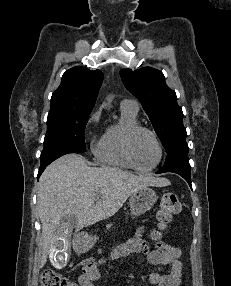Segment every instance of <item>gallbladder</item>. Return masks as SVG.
I'll use <instances>...</instances> for the list:
<instances>
[{"mask_svg": "<svg viewBox=\"0 0 231 286\" xmlns=\"http://www.w3.org/2000/svg\"><path fill=\"white\" fill-rule=\"evenodd\" d=\"M75 215V213L65 214V217H62L61 221L57 223V236L49 241L52 242L51 247H49L50 263L56 269L64 268L70 258V245L72 244L70 241L72 234L70 232L78 226V219Z\"/></svg>", "mask_w": 231, "mask_h": 286, "instance_id": "gallbladder-1", "label": "gallbladder"}]
</instances>
